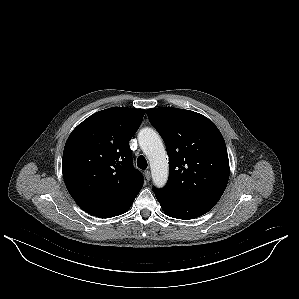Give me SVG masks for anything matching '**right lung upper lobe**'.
I'll list each match as a JSON object with an SVG mask.
<instances>
[{
	"instance_id": "1",
	"label": "right lung upper lobe",
	"mask_w": 299,
	"mask_h": 299,
	"mask_svg": "<svg viewBox=\"0 0 299 299\" xmlns=\"http://www.w3.org/2000/svg\"><path fill=\"white\" fill-rule=\"evenodd\" d=\"M144 114L143 109L109 108L89 116L72 131L64 147L62 172L79 206L112 200L116 214H122L132 205L143 177L132 166L129 140Z\"/></svg>"
}]
</instances>
